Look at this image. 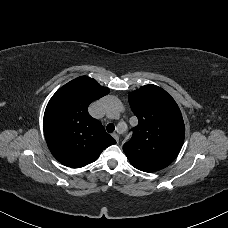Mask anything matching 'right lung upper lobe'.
<instances>
[{
  "label": "right lung upper lobe",
  "instance_id": "obj_1",
  "mask_svg": "<svg viewBox=\"0 0 228 228\" xmlns=\"http://www.w3.org/2000/svg\"><path fill=\"white\" fill-rule=\"evenodd\" d=\"M108 93V88L82 76L52 96L44 113L43 127L47 145L59 162L80 168L96 161L104 149L116 143L88 113L89 104Z\"/></svg>",
  "mask_w": 228,
  "mask_h": 228
}]
</instances>
